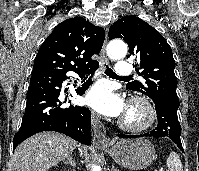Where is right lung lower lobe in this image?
I'll use <instances>...</instances> for the list:
<instances>
[{"label":"right lung lower lobe","mask_w":199,"mask_h":171,"mask_svg":"<svg viewBox=\"0 0 199 171\" xmlns=\"http://www.w3.org/2000/svg\"><path fill=\"white\" fill-rule=\"evenodd\" d=\"M99 67L98 62L84 70L76 71L80 74H92ZM68 77L66 73L39 72L30 79L27 92V102L22 124L13 139V149L28 137L42 131H56L70 136L78 142L91 145V112L86 107L67 105V99L60 101V87ZM88 80L76 92L83 95L88 89Z\"/></svg>","instance_id":"right-lung-lower-lobe-1"}]
</instances>
